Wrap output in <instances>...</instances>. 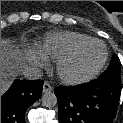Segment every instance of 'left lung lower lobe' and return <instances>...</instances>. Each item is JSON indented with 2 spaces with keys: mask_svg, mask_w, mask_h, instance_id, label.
Returning <instances> with one entry per match:
<instances>
[{
  "mask_svg": "<svg viewBox=\"0 0 123 123\" xmlns=\"http://www.w3.org/2000/svg\"><path fill=\"white\" fill-rule=\"evenodd\" d=\"M122 85L96 79L78 87L55 89L59 123H113Z\"/></svg>",
  "mask_w": 123,
  "mask_h": 123,
  "instance_id": "left-lung-lower-lobe-1",
  "label": "left lung lower lobe"
}]
</instances>
